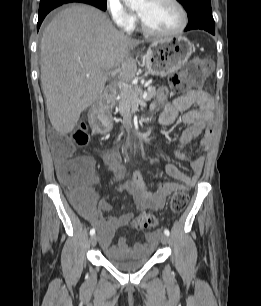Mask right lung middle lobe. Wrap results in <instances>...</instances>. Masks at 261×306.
Instances as JSON below:
<instances>
[{"label": "right lung middle lobe", "mask_w": 261, "mask_h": 306, "mask_svg": "<svg viewBox=\"0 0 261 306\" xmlns=\"http://www.w3.org/2000/svg\"><path fill=\"white\" fill-rule=\"evenodd\" d=\"M48 0H41V2H45ZM85 2L90 3L94 6L101 8L102 10H106L107 0H86Z\"/></svg>", "instance_id": "right-lung-middle-lobe-1"}]
</instances>
